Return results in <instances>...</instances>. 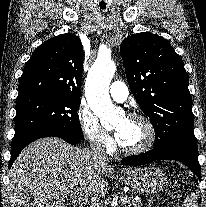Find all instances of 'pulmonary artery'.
<instances>
[{
	"label": "pulmonary artery",
	"instance_id": "1",
	"mask_svg": "<svg viewBox=\"0 0 206 207\" xmlns=\"http://www.w3.org/2000/svg\"><path fill=\"white\" fill-rule=\"evenodd\" d=\"M110 95L113 100L117 102H124L129 95V91L123 82L114 81L110 86Z\"/></svg>",
	"mask_w": 206,
	"mask_h": 207
}]
</instances>
